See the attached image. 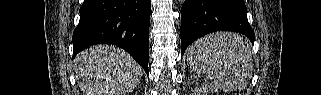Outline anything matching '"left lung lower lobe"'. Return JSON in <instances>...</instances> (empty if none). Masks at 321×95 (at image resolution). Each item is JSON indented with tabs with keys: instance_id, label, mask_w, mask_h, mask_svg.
Returning <instances> with one entry per match:
<instances>
[{
	"instance_id": "left-lung-lower-lobe-1",
	"label": "left lung lower lobe",
	"mask_w": 321,
	"mask_h": 95,
	"mask_svg": "<svg viewBox=\"0 0 321 95\" xmlns=\"http://www.w3.org/2000/svg\"><path fill=\"white\" fill-rule=\"evenodd\" d=\"M215 31L239 32L254 42L244 1L185 0L181 9V53L196 39Z\"/></svg>"
}]
</instances>
